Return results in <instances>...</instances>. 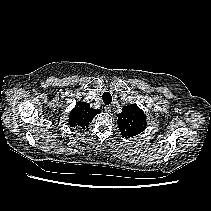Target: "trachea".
<instances>
[{"mask_svg": "<svg viewBox=\"0 0 211 211\" xmlns=\"http://www.w3.org/2000/svg\"><path fill=\"white\" fill-rule=\"evenodd\" d=\"M102 99L105 105H109L112 102V96L109 92H104Z\"/></svg>", "mask_w": 211, "mask_h": 211, "instance_id": "trachea-1", "label": "trachea"}]
</instances>
